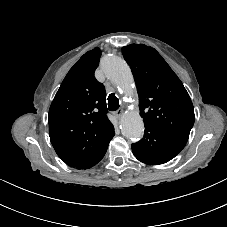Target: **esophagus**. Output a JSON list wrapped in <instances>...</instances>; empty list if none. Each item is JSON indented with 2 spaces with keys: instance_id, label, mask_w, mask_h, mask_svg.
Here are the masks:
<instances>
[{
  "instance_id": "obj_1",
  "label": "esophagus",
  "mask_w": 227,
  "mask_h": 227,
  "mask_svg": "<svg viewBox=\"0 0 227 227\" xmlns=\"http://www.w3.org/2000/svg\"><path fill=\"white\" fill-rule=\"evenodd\" d=\"M123 114V111L122 110H117L114 112V115L117 117V118H120Z\"/></svg>"
}]
</instances>
